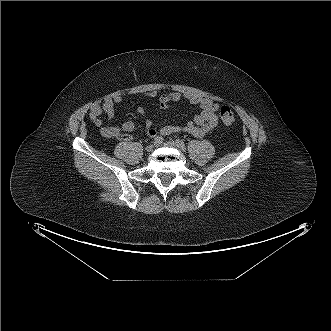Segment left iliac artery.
<instances>
[{
  "label": "left iliac artery",
  "instance_id": "left-iliac-artery-1",
  "mask_svg": "<svg viewBox=\"0 0 331 331\" xmlns=\"http://www.w3.org/2000/svg\"><path fill=\"white\" fill-rule=\"evenodd\" d=\"M176 143H177V145H178L179 147H181V148H184V147H185V143H184L183 140L177 139V140H176Z\"/></svg>",
  "mask_w": 331,
  "mask_h": 331
}]
</instances>
